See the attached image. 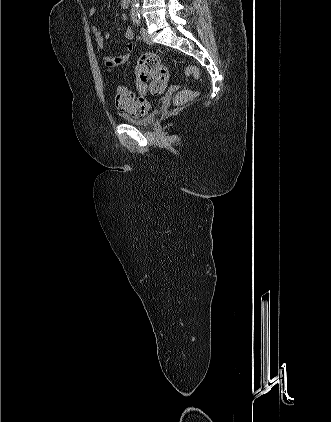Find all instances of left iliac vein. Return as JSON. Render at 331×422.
Wrapping results in <instances>:
<instances>
[{"mask_svg": "<svg viewBox=\"0 0 331 422\" xmlns=\"http://www.w3.org/2000/svg\"><path fill=\"white\" fill-rule=\"evenodd\" d=\"M141 36L146 44L151 45L153 43L145 27L141 29Z\"/></svg>", "mask_w": 331, "mask_h": 422, "instance_id": "4c4485c4", "label": "left iliac vein"}]
</instances>
